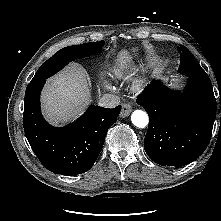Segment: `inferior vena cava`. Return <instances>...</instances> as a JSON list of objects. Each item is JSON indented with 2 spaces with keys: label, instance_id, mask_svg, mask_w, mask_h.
I'll return each mask as SVG.
<instances>
[{
  "label": "inferior vena cava",
  "instance_id": "1",
  "mask_svg": "<svg viewBox=\"0 0 221 221\" xmlns=\"http://www.w3.org/2000/svg\"><path fill=\"white\" fill-rule=\"evenodd\" d=\"M119 104L120 98L113 94H104L99 100V105L106 108H114Z\"/></svg>",
  "mask_w": 221,
  "mask_h": 221
}]
</instances>
